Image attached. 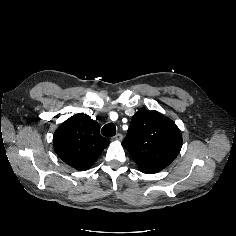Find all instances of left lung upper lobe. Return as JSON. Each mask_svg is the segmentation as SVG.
<instances>
[{
    "mask_svg": "<svg viewBox=\"0 0 236 236\" xmlns=\"http://www.w3.org/2000/svg\"><path fill=\"white\" fill-rule=\"evenodd\" d=\"M122 145L141 172L154 174L177 157L182 147V135L169 118L141 108L133 116Z\"/></svg>",
    "mask_w": 236,
    "mask_h": 236,
    "instance_id": "1",
    "label": "left lung upper lobe"
}]
</instances>
